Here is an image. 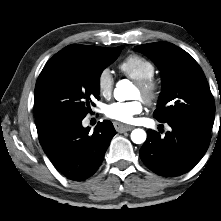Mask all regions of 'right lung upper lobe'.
Instances as JSON below:
<instances>
[{"instance_id": "cb5924a9", "label": "right lung upper lobe", "mask_w": 221, "mask_h": 221, "mask_svg": "<svg viewBox=\"0 0 221 221\" xmlns=\"http://www.w3.org/2000/svg\"><path fill=\"white\" fill-rule=\"evenodd\" d=\"M120 47L116 48H104V47H97V46H88V45H69L59 51L58 53H72V54H108L113 53L119 50Z\"/></svg>"}]
</instances>
